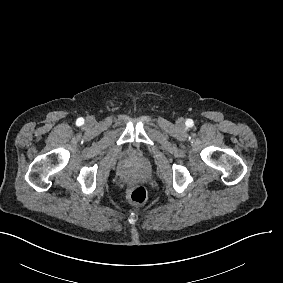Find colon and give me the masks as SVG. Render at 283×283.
Wrapping results in <instances>:
<instances>
[{"label":"colon","instance_id":"obj_1","mask_svg":"<svg viewBox=\"0 0 283 283\" xmlns=\"http://www.w3.org/2000/svg\"><path fill=\"white\" fill-rule=\"evenodd\" d=\"M128 199L132 204H143L147 200V191L143 186H134L128 192Z\"/></svg>","mask_w":283,"mask_h":283}]
</instances>
